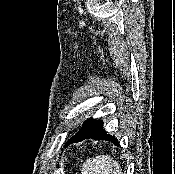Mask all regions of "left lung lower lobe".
Returning <instances> with one entry per match:
<instances>
[{
  "mask_svg": "<svg viewBox=\"0 0 175 174\" xmlns=\"http://www.w3.org/2000/svg\"><path fill=\"white\" fill-rule=\"evenodd\" d=\"M87 138H93L95 140H107L113 142V144L118 145V140L111 135H107L103 129V121L96 119H89L83 123L81 129L76 133L65 146L71 143L79 142Z\"/></svg>",
  "mask_w": 175,
  "mask_h": 174,
  "instance_id": "left-lung-lower-lobe-1",
  "label": "left lung lower lobe"
}]
</instances>
